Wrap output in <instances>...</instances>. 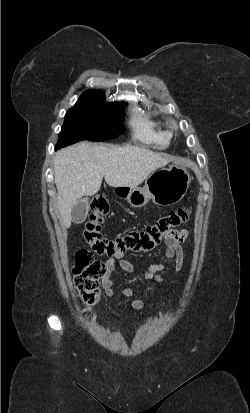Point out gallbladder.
Masks as SVG:
<instances>
[{"label": "gallbladder", "mask_w": 250, "mask_h": 413, "mask_svg": "<svg viewBox=\"0 0 250 413\" xmlns=\"http://www.w3.org/2000/svg\"><path fill=\"white\" fill-rule=\"evenodd\" d=\"M89 210L88 198L80 199L71 211V220L75 224H80L85 221Z\"/></svg>", "instance_id": "obj_1"}]
</instances>
